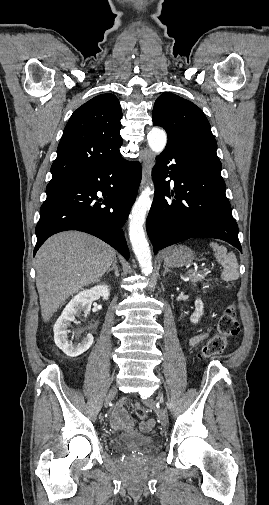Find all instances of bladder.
<instances>
[{
    "label": "bladder",
    "mask_w": 269,
    "mask_h": 505,
    "mask_svg": "<svg viewBox=\"0 0 269 505\" xmlns=\"http://www.w3.org/2000/svg\"><path fill=\"white\" fill-rule=\"evenodd\" d=\"M154 438L150 435L118 436L112 440L118 448H145L154 444Z\"/></svg>",
    "instance_id": "obj_1"
}]
</instances>
